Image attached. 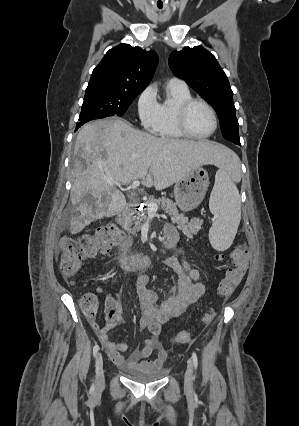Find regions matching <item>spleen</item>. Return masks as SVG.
Listing matches in <instances>:
<instances>
[{
    "mask_svg": "<svg viewBox=\"0 0 299 426\" xmlns=\"http://www.w3.org/2000/svg\"><path fill=\"white\" fill-rule=\"evenodd\" d=\"M225 167L217 171L209 199L210 211L215 216L209 230V240L218 251L231 246L241 219L239 191Z\"/></svg>",
    "mask_w": 299,
    "mask_h": 426,
    "instance_id": "obj_1",
    "label": "spleen"
}]
</instances>
